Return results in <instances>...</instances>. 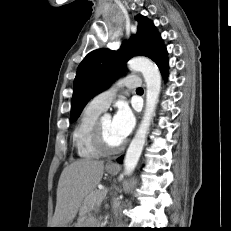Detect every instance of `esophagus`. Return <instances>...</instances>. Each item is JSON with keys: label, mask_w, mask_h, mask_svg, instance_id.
I'll use <instances>...</instances> for the list:
<instances>
[{"label": "esophagus", "mask_w": 231, "mask_h": 231, "mask_svg": "<svg viewBox=\"0 0 231 231\" xmlns=\"http://www.w3.org/2000/svg\"><path fill=\"white\" fill-rule=\"evenodd\" d=\"M108 166H116V164L113 163V162H109V163H108Z\"/></svg>", "instance_id": "34e87169"}]
</instances>
